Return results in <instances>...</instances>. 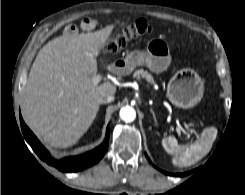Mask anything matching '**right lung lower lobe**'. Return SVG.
<instances>
[{"instance_id":"98d812e1","label":"right lung lower lobe","mask_w":245,"mask_h":195,"mask_svg":"<svg viewBox=\"0 0 245 195\" xmlns=\"http://www.w3.org/2000/svg\"><path fill=\"white\" fill-rule=\"evenodd\" d=\"M20 124L24 138L32 147V149L36 152V154L47 164L57 168L62 172H77L94 165L104 156L108 148L109 125L106 130V137L104 142L97 148L79 156L56 160L50 156L49 152L43 147V145L39 142V140L31 132V130L26 126L21 115Z\"/></svg>"}]
</instances>
